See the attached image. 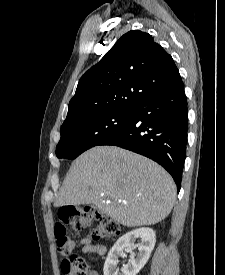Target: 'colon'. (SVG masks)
Masks as SVG:
<instances>
[{
    "mask_svg": "<svg viewBox=\"0 0 225 275\" xmlns=\"http://www.w3.org/2000/svg\"><path fill=\"white\" fill-rule=\"evenodd\" d=\"M59 218L60 223L55 225L54 234L57 250L61 254H69L74 247V241L67 234L66 225H71L76 231L94 225L89 233V238L93 240L114 236L120 232L114 220L86 207L62 208ZM61 268L62 275H88L87 262L79 255H71L69 259L63 260Z\"/></svg>",
    "mask_w": 225,
    "mask_h": 275,
    "instance_id": "1",
    "label": "colon"
}]
</instances>
